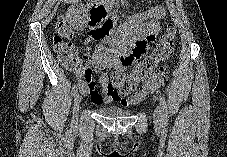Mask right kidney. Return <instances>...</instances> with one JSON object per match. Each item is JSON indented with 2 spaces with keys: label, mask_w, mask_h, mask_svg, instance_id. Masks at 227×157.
<instances>
[{
  "label": "right kidney",
  "mask_w": 227,
  "mask_h": 157,
  "mask_svg": "<svg viewBox=\"0 0 227 157\" xmlns=\"http://www.w3.org/2000/svg\"><path fill=\"white\" fill-rule=\"evenodd\" d=\"M82 12H83V9L78 6H72L68 9L66 15H67L69 22L73 26L78 25V22L80 20V13H82Z\"/></svg>",
  "instance_id": "1"
}]
</instances>
